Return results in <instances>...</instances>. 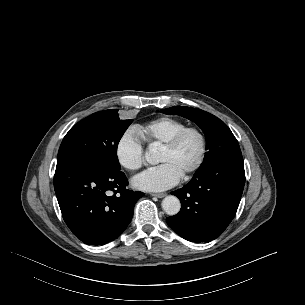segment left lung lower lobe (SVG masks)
I'll return each instance as SVG.
<instances>
[{
	"label": "left lung lower lobe",
	"instance_id": "0a47b994",
	"mask_svg": "<svg viewBox=\"0 0 305 305\" xmlns=\"http://www.w3.org/2000/svg\"><path fill=\"white\" fill-rule=\"evenodd\" d=\"M245 184L242 154H235L194 174L173 191L181 201L178 214L166 219L181 237L192 242L217 238L234 218Z\"/></svg>",
	"mask_w": 305,
	"mask_h": 305
}]
</instances>
